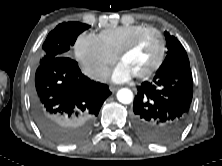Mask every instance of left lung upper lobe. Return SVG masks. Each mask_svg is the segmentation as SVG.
<instances>
[{"instance_id": "left-lung-upper-lobe-1", "label": "left lung upper lobe", "mask_w": 222, "mask_h": 166, "mask_svg": "<svg viewBox=\"0 0 222 166\" xmlns=\"http://www.w3.org/2000/svg\"><path fill=\"white\" fill-rule=\"evenodd\" d=\"M164 35L167 42L168 52L164 62L157 72H162L173 67H190L187 53L182 44L177 38L170 35L168 32H165Z\"/></svg>"}]
</instances>
